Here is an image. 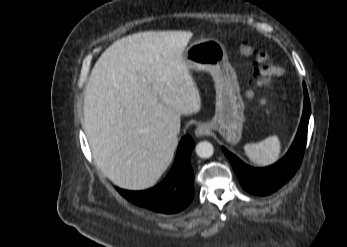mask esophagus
Instances as JSON below:
<instances>
[{
  "mask_svg": "<svg viewBox=\"0 0 347 247\" xmlns=\"http://www.w3.org/2000/svg\"><path fill=\"white\" fill-rule=\"evenodd\" d=\"M210 134V129L205 124L198 125L195 129V135L197 137H203Z\"/></svg>",
  "mask_w": 347,
  "mask_h": 247,
  "instance_id": "esophagus-1",
  "label": "esophagus"
}]
</instances>
